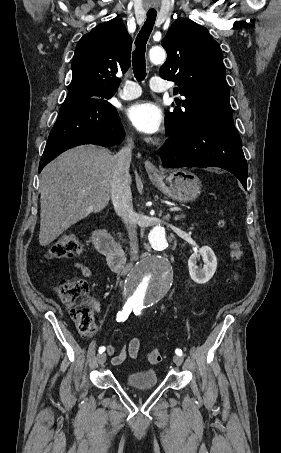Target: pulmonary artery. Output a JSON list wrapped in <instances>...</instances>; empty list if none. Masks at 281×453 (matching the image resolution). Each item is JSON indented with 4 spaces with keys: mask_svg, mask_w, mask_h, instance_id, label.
<instances>
[{
    "mask_svg": "<svg viewBox=\"0 0 281 453\" xmlns=\"http://www.w3.org/2000/svg\"><path fill=\"white\" fill-rule=\"evenodd\" d=\"M161 78L155 76L151 78L150 86L155 91H165L168 88L154 85V81H159ZM141 94V89L135 82H127L125 87L120 91V97L124 100H130L138 97Z\"/></svg>",
    "mask_w": 281,
    "mask_h": 453,
    "instance_id": "obj_1",
    "label": "pulmonary artery"
}]
</instances>
